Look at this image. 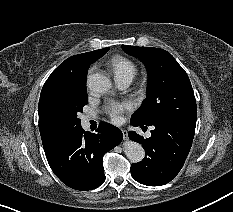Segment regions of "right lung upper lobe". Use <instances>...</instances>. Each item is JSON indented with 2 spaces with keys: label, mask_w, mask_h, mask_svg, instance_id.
I'll return each instance as SVG.
<instances>
[{
  "label": "right lung upper lobe",
  "mask_w": 233,
  "mask_h": 212,
  "mask_svg": "<svg viewBox=\"0 0 233 212\" xmlns=\"http://www.w3.org/2000/svg\"><path fill=\"white\" fill-rule=\"evenodd\" d=\"M107 48L78 54L69 57L61 65H59L48 77L42 91L44 93L48 89L69 82L85 81L87 71L90 65L105 54ZM39 129L42 139L44 151H48L55 146L63 137H59L51 133L43 124L39 117Z\"/></svg>",
  "instance_id": "1"
}]
</instances>
